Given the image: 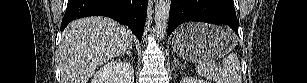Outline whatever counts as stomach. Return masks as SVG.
I'll use <instances>...</instances> for the list:
<instances>
[{"label":"stomach","mask_w":307,"mask_h":83,"mask_svg":"<svg viewBox=\"0 0 307 83\" xmlns=\"http://www.w3.org/2000/svg\"><path fill=\"white\" fill-rule=\"evenodd\" d=\"M236 43V35L229 28L204 23L182 25L172 39L175 53L194 63L218 60L234 49Z\"/></svg>","instance_id":"obj_1"}]
</instances>
